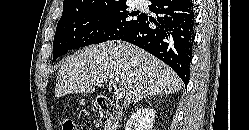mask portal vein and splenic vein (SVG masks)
I'll return each mask as SVG.
<instances>
[{
  "label": "portal vein and splenic vein",
  "instance_id": "obj_1",
  "mask_svg": "<svg viewBox=\"0 0 249 130\" xmlns=\"http://www.w3.org/2000/svg\"><path fill=\"white\" fill-rule=\"evenodd\" d=\"M104 81L109 82V84H113V82H110V81H107V80H104V79H93L92 80V82L94 84H101ZM114 94H115L116 99H122L124 97V90L121 89V88L116 89L115 92H114Z\"/></svg>",
  "mask_w": 249,
  "mask_h": 130
}]
</instances>
